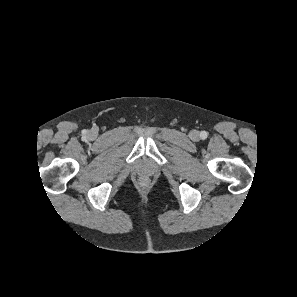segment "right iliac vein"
I'll return each mask as SVG.
<instances>
[{"label": "right iliac vein", "mask_w": 297, "mask_h": 297, "mask_svg": "<svg viewBox=\"0 0 297 297\" xmlns=\"http://www.w3.org/2000/svg\"><path fill=\"white\" fill-rule=\"evenodd\" d=\"M94 136H95V133H94V132H92V133H91V137H94Z\"/></svg>", "instance_id": "63e3f726"}]
</instances>
